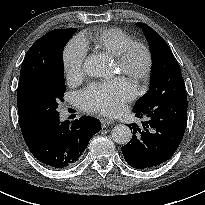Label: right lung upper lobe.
<instances>
[{
	"mask_svg": "<svg viewBox=\"0 0 205 205\" xmlns=\"http://www.w3.org/2000/svg\"><path fill=\"white\" fill-rule=\"evenodd\" d=\"M64 30L70 29H55L43 35L30 47L23 60L17 89V107L19 123L26 143L30 141L38 129L48 122L40 117L30 105L27 98V86L37 73L41 63L45 60L59 33Z\"/></svg>",
	"mask_w": 205,
	"mask_h": 205,
	"instance_id": "1",
	"label": "right lung upper lobe"
}]
</instances>
